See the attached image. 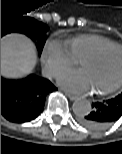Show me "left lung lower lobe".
I'll list each match as a JSON object with an SVG mask.
<instances>
[{
  "mask_svg": "<svg viewBox=\"0 0 122 154\" xmlns=\"http://www.w3.org/2000/svg\"><path fill=\"white\" fill-rule=\"evenodd\" d=\"M92 111L80 117V123L92 130H102L115 123L122 116V93L115 98L95 102Z\"/></svg>",
  "mask_w": 122,
  "mask_h": 154,
  "instance_id": "left-lung-lower-lobe-1",
  "label": "left lung lower lobe"
}]
</instances>
